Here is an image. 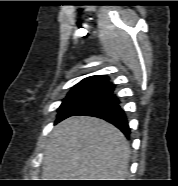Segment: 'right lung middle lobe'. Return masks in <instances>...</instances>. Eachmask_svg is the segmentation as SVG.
<instances>
[{
  "label": "right lung middle lobe",
  "instance_id": "dd1d6c3e",
  "mask_svg": "<svg viewBox=\"0 0 178 186\" xmlns=\"http://www.w3.org/2000/svg\"><path fill=\"white\" fill-rule=\"evenodd\" d=\"M112 86L109 85H87L72 88L58 109L57 122L76 112L89 102L100 97Z\"/></svg>",
  "mask_w": 178,
  "mask_h": 186
}]
</instances>
